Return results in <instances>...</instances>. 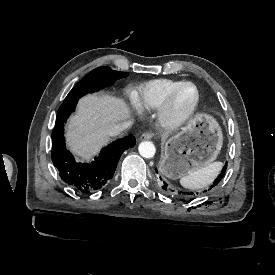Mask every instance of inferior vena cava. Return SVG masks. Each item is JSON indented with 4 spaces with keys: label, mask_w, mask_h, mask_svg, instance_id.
<instances>
[{
    "label": "inferior vena cava",
    "mask_w": 275,
    "mask_h": 275,
    "mask_svg": "<svg viewBox=\"0 0 275 275\" xmlns=\"http://www.w3.org/2000/svg\"><path fill=\"white\" fill-rule=\"evenodd\" d=\"M131 122L118 123L114 127L107 129L109 135L118 134L123 130L128 129L131 126Z\"/></svg>",
    "instance_id": "obj_1"
}]
</instances>
